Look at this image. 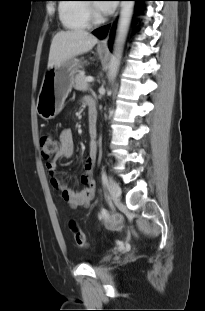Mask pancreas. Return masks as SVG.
<instances>
[{
	"instance_id": "obj_1",
	"label": "pancreas",
	"mask_w": 205,
	"mask_h": 311,
	"mask_svg": "<svg viewBox=\"0 0 205 311\" xmlns=\"http://www.w3.org/2000/svg\"><path fill=\"white\" fill-rule=\"evenodd\" d=\"M86 76L84 75V72H79L74 77V88L79 91H87L89 89V84L86 81Z\"/></svg>"
}]
</instances>
